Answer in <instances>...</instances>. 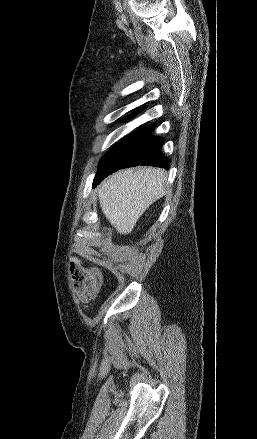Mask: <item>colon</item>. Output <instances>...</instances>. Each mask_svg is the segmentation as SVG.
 I'll return each instance as SVG.
<instances>
[{
	"label": "colon",
	"instance_id": "1",
	"mask_svg": "<svg viewBox=\"0 0 257 439\" xmlns=\"http://www.w3.org/2000/svg\"><path fill=\"white\" fill-rule=\"evenodd\" d=\"M72 280L75 289L84 299L96 297L103 286V276L96 269L72 267Z\"/></svg>",
	"mask_w": 257,
	"mask_h": 439
}]
</instances>
